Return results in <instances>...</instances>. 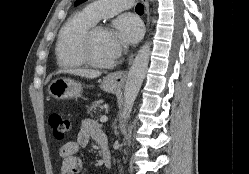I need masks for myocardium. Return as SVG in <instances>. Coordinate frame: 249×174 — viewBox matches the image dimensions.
I'll return each mask as SVG.
<instances>
[{
	"mask_svg": "<svg viewBox=\"0 0 249 174\" xmlns=\"http://www.w3.org/2000/svg\"><path fill=\"white\" fill-rule=\"evenodd\" d=\"M103 29L108 30V28L103 26H92L84 35L80 52L86 64L95 68H109L115 64V60L111 62H100L96 60L92 55V41L94 34L97 30Z\"/></svg>",
	"mask_w": 249,
	"mask_h": 174,
	"instance_id": "1",
	"label": "myocardium"
}]
</instances>
